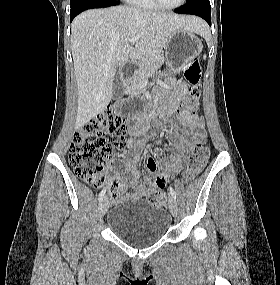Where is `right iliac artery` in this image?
Masks as SVG:
<instances>
[{
    "label": "right iliac artery",
    "mask_w": 280,
    "mask_h": 285,
    "mask_svg": "<svg viewBox=\"0 0 280 285\" xmlns=\"http://www.w3.org/2000/svg\"><path fill=\"white\" fill-rule=\"evenodd\" d=\"M105 192H106V189H105V188L100 192L99 197H98V200H99V201L103 199V197H104V195H105Z\"/></svg>",
    "instance_id": "obj_1"
}]
</instances>
